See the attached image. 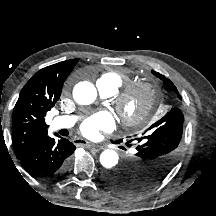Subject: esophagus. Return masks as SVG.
<instances>
[{
  "instance_id": "34e87169",
  "label": "esophagus",
  "mask_w": 216,
  "mask_h": 216,
  "mask_svg": "<svg viewBox=\"0 0 216 216\" xmlns=\"http://www.w3.org/2000/svg\"><path fill=\"white\" fill-rule=\"evenodd\" d=\"M80 144L83 145V146L95 147V148H97V149H102V148H103V147L100 146V145L94 144V143L89 142V141H86V140H83Z\"/></svg>"
}]
</instances>
